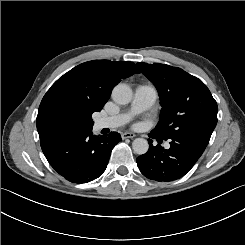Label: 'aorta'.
Returning <instances> with one entry per match:
<instances>
[{"instance_id":"obj_1","label":"aorta","mask_w":245,"mask_h":245,"mask_svg":"<svg viewBox=\"0 0 245 245\" xmlns=\"http://www.w3.org/2000/svg\"><path fill=\"white\" fill-rule=\"evenodd\" d=\"M112 97L118 104H128L133 97L132 89L127 84H118L112 91ZM132 148L138 155H143L148 151L149 144L146 139L136 138L132 142Z\"/></svg>"}]
</instances>
